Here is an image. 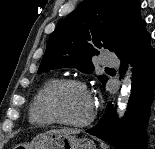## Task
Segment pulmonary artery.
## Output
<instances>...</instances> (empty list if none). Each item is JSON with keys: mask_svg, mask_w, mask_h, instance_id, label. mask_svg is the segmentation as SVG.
Listing matches in <instances>:
<instances>
[{"mask_svg": "<svg viewBox=\"0 0 155 149\" xmlns=\"http://www.w3.org/2000/svg\"><path fill=\"white\" fill-rule=\"evenodd\" d=\"M102 63L106 66H116L119 64V59L114 53H105L102 56Z\"/></svg>", "mask_w": 155, "mask_h": 149, "instance_id": "1", "label": "pulmonary artery"}]
</instances>
